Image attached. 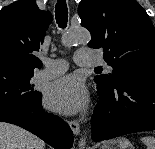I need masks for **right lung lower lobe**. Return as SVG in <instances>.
Listing matches in <instances>:
<instances>
[{
	"label": "right lung lower lobe",
	"instance_id": "1",
	"mask_svg": "<svg viewBox=\"0 0 155 149\" xmlns=\"http://www.w3.org/2000/svg\"><path fill=\"white\" fill-rule=\"evenodd\" d=\"M41 99L27 109L0 107V121L18 125L54 148L69 149L73 143V132L60 117L45 112Z\"/></svg>",
	"mask_w": 155,
	"mask_h": 149
}]
</instances>
